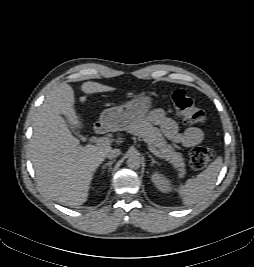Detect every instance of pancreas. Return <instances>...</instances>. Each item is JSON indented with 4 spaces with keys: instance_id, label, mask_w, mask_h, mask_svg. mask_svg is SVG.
Listing matches in <instances>:
<instances>
[{
    "instance_id": "obj_1",
    "label": "pancreas",
    "mask_w": 254,
    "mask_h": 267,
    "mask_svg": "<svg viewBox=\"0 0 254 267\" xmlns=\"http://www.w3.org/2000/svg\"><path fill=\"white\" fill-rule=\"evenodd\" d=\"M128 132L142 138L148 145L158 149L161 153V158L167 160L176 169L178 177H184L186 170L182 154L176 152L172 146L166 143L158 128L152 126L147 121L141 120L130 127Z\"/></svg>"
}]
</instances>
